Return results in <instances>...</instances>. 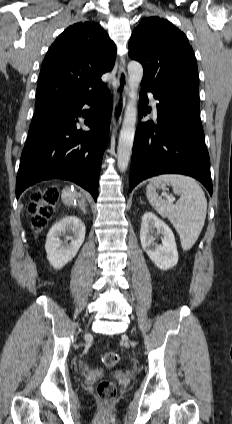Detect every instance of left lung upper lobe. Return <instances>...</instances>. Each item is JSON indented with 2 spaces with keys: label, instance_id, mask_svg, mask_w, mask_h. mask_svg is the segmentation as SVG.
<instances>
[{
  "label": "left lung upper lobe",
  "instance_id": "left-lung-upper-lobe-1",
  "mask_svg": "<svg viewBox=\"0 0 232 424\" xmlns=\"http://www.w3.org/2000/svg\"><path fill=\"white\" fill-rule=\"evenodd\" d=\"M129 56L143 65L141 87L153 92L199 95V76L192 47L183 32L166 19L149 17L134 29Z\"/></svg>",
  "mask_w": 232,
  "mask_h": 424
}]
</instances>
